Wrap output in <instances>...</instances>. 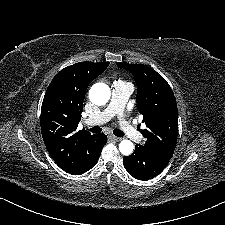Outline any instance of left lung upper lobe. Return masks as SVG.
<instances>
[{"label": "left lung upper lobe", "instance_id": "obj_1", "mask_svg": "<svg viewBox=\"0 0 225 225\" xmlns=\"http://www.w3.org/2000/svg\"><path fill=\"white\" fill-rule=\"evenodd\" d=\"M134 75L137 82V108L147 129L144 147L165 156H172L178 136L176 99L167 81L154 69L143 64L117 63Z\"/></svg>", "mask_w": 225, "mask_h": 225}]
</instances>
